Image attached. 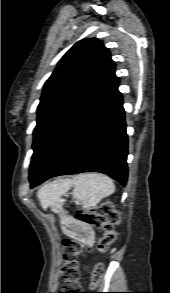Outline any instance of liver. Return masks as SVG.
<instances>
[{"label":"liver","instance_id":"liver-1","mask_svg":"<svg viewBox=\"0 0 170 293\" xmlns=\"http://www.w3.org/2000/svg\"><path fill=\"white\" fill-rule=\"evenodd\" d=\"M71 186L70 180H60L57 182V187L54 188L52 185H47L43 187L38 192V198L41 205L45 208L48 206L54 198L58 197L61 194V189L63 191L67 190ZM61 187V188H60ZM62 191V192H63Z\"/></svg>","mask_w":170,"mask_h":293}]
</instances>
